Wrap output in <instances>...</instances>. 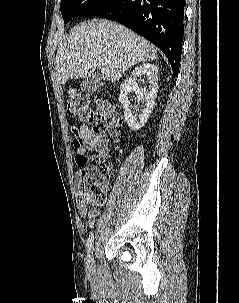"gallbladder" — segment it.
I'll return each instance as SVG.
<instances>
[{
	"mask_svg": "<svg viewBox=\"0 0 239 303\" xmlns=\"http://www.w3.org/2000/svg\"><path fill=\"white\" fill-rule=\"evenodd\" d=\"M104 84V79L100 72H95L83 79L80 87L83 91L87 93L94 92L101 88Z\"/></svg>",
	"mask_w": 239,
	"mask_h": 303,
	"instance_id": "obj_1",
	"label": "gallbladder"
}]
</instances>
